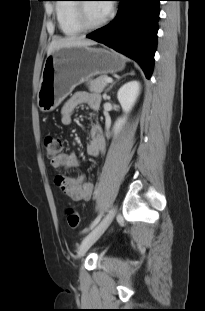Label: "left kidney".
<instances>
[{
    "label": "left kidney",
    "instance_id": "left-kidney-1",
    "mask_svg": "<svg viewBox=\"0 0 205 311\" xmlns=\"http://www.w3.org/2000/svg\"><path fill=\"white\" fill-rule=\"evenodd\" d=\"M140 92V83L138 81H130L124 84L117 93V98L121 107L125 113L129 112ZM125 123V118H118L114 124V132H118L123 124Z\"/></svg>",
    "mask_w": 205,
    "mask_h": 311
}]
</instances>
